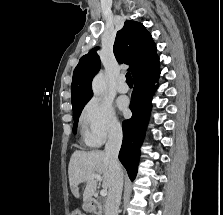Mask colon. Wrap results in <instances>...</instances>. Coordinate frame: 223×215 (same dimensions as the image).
Segmentation results:
<instances>
[{
	"label": "colon",
	"instance_id": "1",
	"mask_svg": "<svg viewBox=\"0 0 223 215\" xmlns=\"http://www.w3.org/2000/svg\"><path fill=\"white\" fill-rule=\"evenodd\" d=\"M69 215H84L80 210H72Z\"/></svg>",
	"mask_w": 223,
	"mask_h": 215
}]
</instances>
